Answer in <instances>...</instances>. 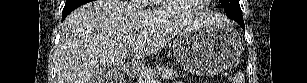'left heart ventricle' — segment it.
<instances>
[{
	"label": "left heart ventricle",
	"mask_w": 307,
	"mask_h": 83,
	"mask_svg": "<svg viewBox=\"0 0 307 83\" xmlns=\"http://www.w3.org/2000/svg\"><path fill=\"white\" fill-rule=\"evenodd\" d=\"M199 1L202 0H177L175 1L176 7L181 10H189L194 6L198 5Z\"/></svg>",
	"instance_id": "1"
}]
</instances>
